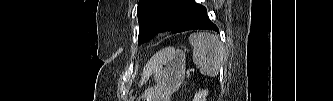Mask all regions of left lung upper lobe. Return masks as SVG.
Masks as SVG:
<instances>
[{
  "instance_id": "left-lung-upper-lobe-1",
  "label": "left lung upper lobe",
  "mask_w": 333,
  "mask_h": 101,
  "mask_svg": "<svg viewBox=\"0 0 333 101\" xmlns=\"http://www.w3.org/2000/svg\"><path fill=\"white\" fill-rule=\"evenodd\" d=\"M139 38L138 44L152 39L165 31L176 33L184 10L177 0H140L138 3Z\"/></svg>"
}]
</instances>
